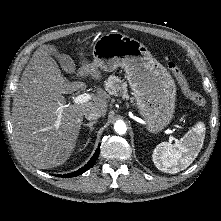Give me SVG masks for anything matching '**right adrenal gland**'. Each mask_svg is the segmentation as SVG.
<instances>
[{
    "instance_id": "2a0ac1e0",
    "label": "right adrenal gland",
    "mask_w": 221,
    "mask_h": 221,
    "mask_svg": "<svg viewBox=\"0 0 221 221\" xmlns=\"http://www.w3.org/2000/svg\"><path fill=\"white\" fill-rule=\"evenodd\" d=\"M97 121H92V122H89V123H86V124H83L84 127H89L90 129V133L93 131V125L96 124Z\"/></svg>"
}]
</instances>
